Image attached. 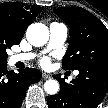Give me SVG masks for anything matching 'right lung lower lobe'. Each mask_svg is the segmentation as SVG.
<instances>
[{
  "label": "right lung lower lobe",
  "mask_w": 108,
  "mask_h": 108,
  "mask_svg": "<svg viewBox=\"0 0 108 108\" xmlns=\"http://www.w3.org/2000/svg\"><path fill=\"white\" fill-rule=\"evenodd\" d=\"M0 64V108H19L26 95L28 86L39 82L42 74L37 69L26 68L18 74Z\"/></svg>",
  "instance_id": "obj_1"
}]
</instances>
